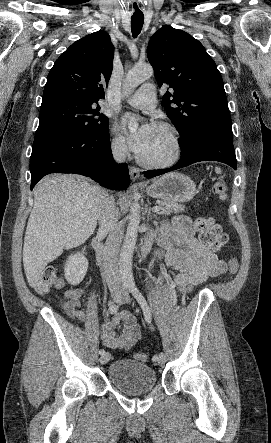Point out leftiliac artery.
Returning <instances> with one entry per match:
<instances>
[{
	"label": "left iliac artery",
	"mask_w": 271,
	"mask_h": 443,
	"mask_svg": "<svg viewBox=\"0 0 271 443\" xmlns=\"http://www.w3.org/2000/svg\"><path fill=\"white\" fill-rule=\"evenodd\" d=\"M129 290L132 293V295L135 297V299L138 301L139 305L141 306L146 322L148 324H150L151 319H152V315H151V310H150V307H149L147 301L145 300L143 295L140 293L138 288L135 286V284H133V283L130 284ZM152 360L158 361V356L154 355L152 357Z\"/></svg>",
	"instance_id": "44dca946"
}]
</instances>
